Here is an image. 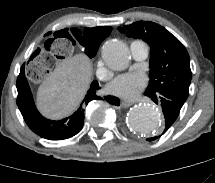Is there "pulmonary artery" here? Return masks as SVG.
Listing matches in <instances>:
<instances>
[{
    "label": "pulmonary artery",
    "instance_id": "1",
    "mask_svg": "<svg viewBox=\"0 0 215 183\" xmlns=\"http://www.w3.org/2000/svg\"><path fill=\"white\" fill-rule=\"evenodd\" d=\"M130 51L134 60L143 61L148 57L150 48L145 42L135 40L130 43Z\"/></svg>",
    "mask_w": 215,
    "mask_h": 183
}]
</instances>
